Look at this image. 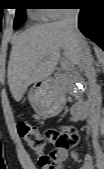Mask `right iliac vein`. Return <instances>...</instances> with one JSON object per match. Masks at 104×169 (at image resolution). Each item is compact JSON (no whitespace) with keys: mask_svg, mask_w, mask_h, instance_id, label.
<instances>
[{"mask_svg":"<svg viewBox=\"0 0 104 169\" xmlns=\"http://www.w3.org/2000/svg\"><path fill=\"white\" fill-rule=\"evenodd\" d=\"M95 154H96L98 168L104 169V155L102 150L98 146H95Z\"/></svg>","mask_w":104,"mask_h":169,"instance_id":"1","label":"right iliac vein"}]
</instances>
